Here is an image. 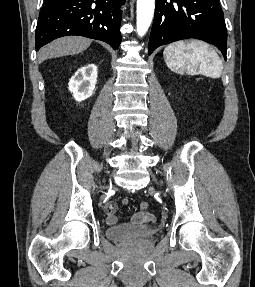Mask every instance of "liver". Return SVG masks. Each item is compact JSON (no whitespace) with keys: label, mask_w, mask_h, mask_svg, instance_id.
Instances as JSON below:
<instances>
[{"label":"liver","mask_w":255,"mask_h":287,"mask_svg":"<svg viewBox=\"0 0 255 287\" xmlns=\"http://www.w3.org/2000/svg\"><path fill=\"white\" fill-rule=\"evenodd\" d=\"M92 40L88 38H80V36H66V38H59L54 40L51 44H47L45 48H41L38 52L39 62L48 60V58H59V56H71V54H81L87 50Z\"/></svg>","instance_id":"liver-1"}]
</instances>
